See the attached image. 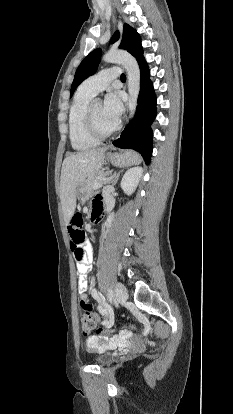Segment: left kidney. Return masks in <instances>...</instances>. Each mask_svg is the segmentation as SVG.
<instances>
[{
    "label": "left kidney",
    "mask_w": 233,
    "mask_h": 414,
    "mask_svg": "<svg viewBox=\"0 0 233 414\" xmlns=\"http://www.w3.org/2000/svg\"><path fill=\"white\" fill-rule=\"evenodd\" d=\"M142 174L143 169L139 166L130 168L126 171L120 183V186L125 194L132 195L134 193Z\"/></svg>",
    "instance_id": "5707ae66"
}]
</instances>
